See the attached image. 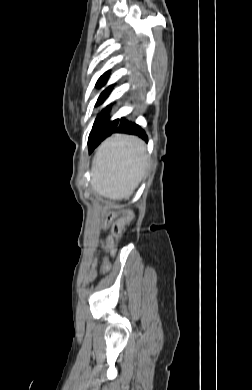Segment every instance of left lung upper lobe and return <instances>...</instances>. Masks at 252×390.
I'll use <instances>...</instances> for the list:
<instances>
[{
	"label": "left lung upper lobe",
	"mask_w": 252,
	"mask_h": 390,
	"mask_svg": "<svg viewBox=\"0 0 252 390\" xmlns=\"http://www.w3.org/2000/svg\"><path fill=\"white\" fill-rule=\"evenodd\" d=\"M108 73L109 71L105 72L100 78L99 80L97 81V86L98 87H101V86H104L105 82H106V79L108 77ZM113 85L109 86L108 88H106L99 96L98 98V101L96 103V105H99L103 100H105L107 98V96L109 95L111 89H112ZM110 107L107 106L105 109H103L97 116L100 117V116H103L105 115V113H107L109 111Z\"/></svg>",
	"instance_id": "1"
}]
</instances>
